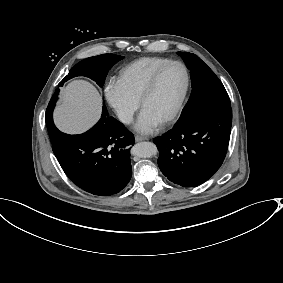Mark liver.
<instances>
[{
    "label": "liver",
    "instance_id": "liver-1",
    "mask_svg": "<svg viewBox=\"0 0 283 283\" xmlns=\"http://www.w3.org/2000/svg\"><path fill=\"white\" fill-rule=\"evenodd\" d=\"M102 97L86 80H73L61 90L54 110V122L63 132L80 134L100 118Z\"/></svg>",
    "mask_w": 283,
    "mask_h": 283
}]
</instances>
